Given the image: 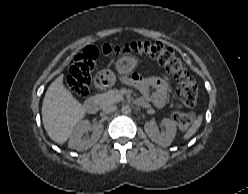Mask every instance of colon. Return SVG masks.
Masks as SVG:
<instances>
[{
    "mask_svg": "<svg viewBox=\"0 0 248 194\" xmlns=\"http://www.w3.org/2000/svg\"><path fill=\"white\" fill-rule=\"evenodd\" d=\"M99 52L113 56L123 54H147L151 56L177 80L176 95L182 103L188 108H193L196 105L198 86L194 78L171 49L155 41H134L119 46L104 44L100 48L94 46L84 48L73 58L65 81L66 88L74 97L83 98L88 95ZM194 120L195 114L193 112H181L174 115V121L181 130L189 129Z\"/></svg>",
    "mask_w": 248,
    "mask_h": 194,
    "instance_id": "1",
    "label": "colon"
}]
</instances>
